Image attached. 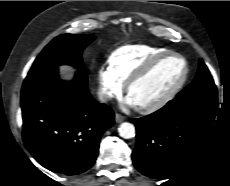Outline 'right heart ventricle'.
I'll return each mask as SVG.
<instances>
[{
    "instance_id": "1",
    "label": "right heart ventricle",
    "mask_w": 230,
    "mask_h": 186,
    "mask_svg": "<svg viewBox=\"0 0 230 186\" xmlns=\"http://www.w3.org/2000/svg\"><path fill=\"white\" fill-rule=\"evenodd\" d=\"M166 51L165 48L145 44L122 46L111 53L108 67L124 83L149 59Z\"/></svg>"
}]
</instances>
